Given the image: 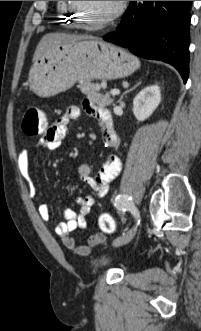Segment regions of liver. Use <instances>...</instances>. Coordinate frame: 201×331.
I'll return each instance as SVG.
<instances>
[{
	"mask_svg": "<svg viewBox=\"0 0 201 331\" xmlns=\"http://www.w3.org/2000/svg\"><path fill=\"white\" fill-rule=\"evenodd\" d=\"M94 39L93 36L88 35H74L67 33H49L42 37L40 42L38 43L34 56L33 62L38 60L44 54L50 52L57 46L65 43H71L81 40Z\"/></svg>",
	"mask_w": 201,
	"mask_h": 331,
	"instance_id": "liver-1",
	"label": "liver"
}]
</instances>
